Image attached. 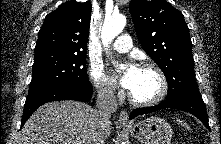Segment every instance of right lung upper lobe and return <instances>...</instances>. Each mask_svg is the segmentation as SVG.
I'll return each mask as SVG.
<instances>
[{
    "instance_id": "1",
    "label": "right lung upper lobe",
    "mask_w": 221,
    "mask_h": 144,
    "mask_svg": "<svg viewBox=\"0 0 221 144\" xmlns=\"http://www.w3.org/2000/svg\"><path fill=\"white\" fill-rule=\"evenodd\" d=\"M91 3L68 1L45 17L35 47L43 52L86 53Z\"/></svg>"
}]
</instances>
